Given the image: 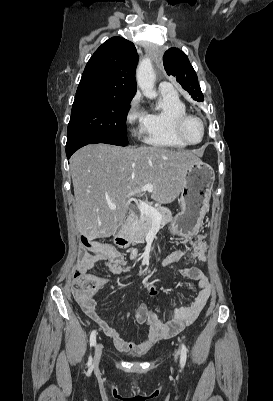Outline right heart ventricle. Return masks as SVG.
Masks as SVG:
<instances>
[{"mask_svg": "<svg viewBox=\"0 0 273 401\" xmlns=\"http://www.w3.org/2000/svg\"><path fill=\"white\" fill-rule=\"evenodd\" d=\"M145 141L148 144L161 147L185 148L174 134L173 126L177 118L188 113L186 103L177 94L162 93L156 107L146 111Z\"/></svg>", "mask_w": 273, "mask_h": 401, "instance_id": "right-heart-ventricle-1", "label": "right heart ventricle"}]
</instances>
